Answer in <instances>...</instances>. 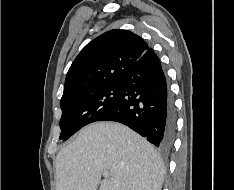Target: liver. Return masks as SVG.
I'll return each instance as SVG.
<instances>
[{
	"instance_id": "6515ba94",
	"label": "liver",
	"mask_w": 234,
	"mask_h": 190,
	"mask_svg": "<svg viewBox=\"0 0 234 190\" xmlns=\"http://www.w3.org/2000/svg\"><path fill=\"white\" fill-rule=\"evenodd\" d=\"M164 177L154 147L120 123L84 127L56 157V190H161Z\"/></svg>"
}]
</instances>
